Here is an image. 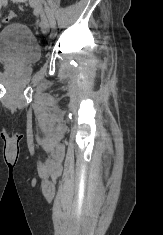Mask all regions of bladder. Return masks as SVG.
I'll return each instance as SVG.
<instances>
[{"label":"bladder","mask_w":163,"mask_h":235,"mask_svg":"<svg viewBox=\"0 0 163 235\" xmlns=\"http://www.w3.org/2000/svg\"><path fill=\"white\" fill-rule=\"evenodd\" d=\"M40 59V46L26 24L10 23L0 29V62L31 66Z\"/></svg>","instance_id":"obj_1"}]
</instances>
